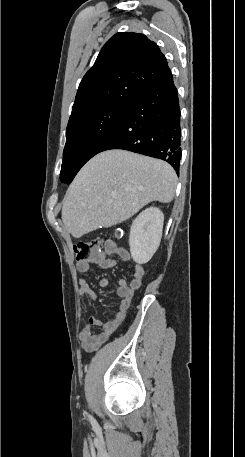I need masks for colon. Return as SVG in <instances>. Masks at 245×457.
Listing matches in <instances>:
<instances>
[{
  "mask_svg": "<svg viewBox=\"0 0 245 457\" xmlns=\"http://www.w3.org/2000/svg\"><path fill=\"white\" fill-rule=\"evenodd\" d=\"M121 235V232L117 233V237H120ZM73 249L77 261L90 260L91 258L101 253V240L98 238H93L79 241L74 245Z\"/></svg>",
  "mask_w": 245,
  "mask_h": 457,
  "instance_id": "5ec220e1",
  "label": "colon"
}]
</instances>
